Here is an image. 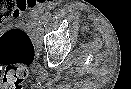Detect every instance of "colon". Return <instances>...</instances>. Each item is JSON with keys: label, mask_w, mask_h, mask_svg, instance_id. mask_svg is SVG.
<instances>
[{"label": "colon", "mask_w": 131, "mask_h": 89, "mask_svg": "<svg viewBox=\"0 0 131 89\" xmlns=\"http://www.w3.org/2000/svg\"><path fill=\"white\" fill-rule=\"evenodd\" d=\"M30 1L0 0V24L33 7ZM34 59V46L26 32L14 29L0 36V79L6 88L18 89Z\"/></svg>", "instance_id": "colon-1"}]
</instances>
